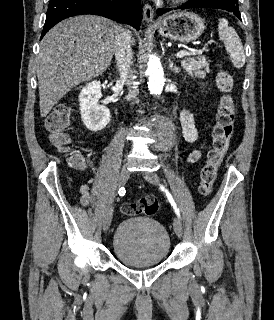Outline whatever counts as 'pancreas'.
<instances>
[{"label": "pancreas", "mask_w": 274, "mask_h": 320, "mask_svg": "<svg viewBox=\"0 0 274 320\" xmlns=\"http://www.w3.org/2000/svg\"><path fill=\"white\" fill-rule=\"evenodd\" d=\"M209 62L203 54H198L194 58H182L181 66L185 72H188L189 76H196V78H205L206 74H209Z\"/></svg>", "instance_id": "1"}]
</instances>
